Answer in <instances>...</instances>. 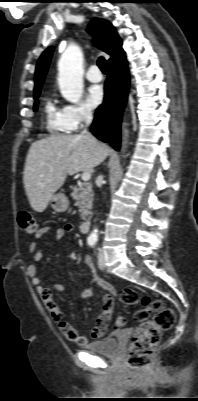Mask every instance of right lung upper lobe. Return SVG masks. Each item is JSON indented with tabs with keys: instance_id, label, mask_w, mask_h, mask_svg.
<instances>
[{
	"instance_id": "1",
	"label": "right lung upper lobe",
	"mask_w": 198,
	"mask_h": 401,
	"mask_svg": "<svg viewBox=\"0 0 198 401\" xmlns=\"http://www.w3.org/2000/svg\"><path fill=\"white\" fill-rule=\"evenodd\" d=\"M89 31H92L96 37L95 45L111 56L108 62L123 52L122 41L109 22L94 18L89 24ZM53 49V47L46 49L38 60L35 71L34 95L40 93Z\"/></svg>"
}]
</instances>
